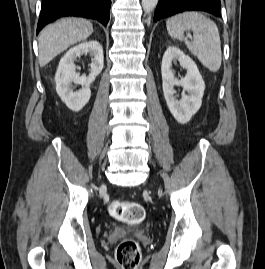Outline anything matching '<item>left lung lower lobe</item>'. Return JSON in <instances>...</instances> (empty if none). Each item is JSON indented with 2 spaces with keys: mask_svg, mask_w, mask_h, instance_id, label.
<instances>
[{
  "mask_svg": "<svg viewBox=\"0 0 265 269\" xmlns=\"http://www.w3.org/2000/svg\"><path fill=\"white\" fill-rule=\"evenodd\" d=\"M220 8V0H159L154 21L184 11H205L219 17L221 16Z\"/></svg>",
  "mask_w": 265,
  "mask_h": 269,
  "instance_id": "left-lung-lower-lobe-1",
  "label": "left lung lower lobe"
}]
</instances>
